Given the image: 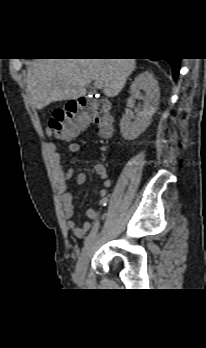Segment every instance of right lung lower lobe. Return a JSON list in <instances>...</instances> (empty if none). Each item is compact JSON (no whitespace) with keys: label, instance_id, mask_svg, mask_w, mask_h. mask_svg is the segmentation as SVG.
Returning <instances> with one entry per match:
<instances>
[{"label":"right lung lower lobe","instance_id":"98d812e1","mask_svg":"<svg viewBox=\"0 0 206 348\" xmlns=\"http://www.w3.org/2000/svg\"><path fill=\"white\" fill-rule=\"evenodd\" d=\"M170 63L172 66V72H173V79L176 80L179 74V69H180V58H169L165 59Z\"/></svg>","mask_w":206,"mask_h":348}]
</instances>
